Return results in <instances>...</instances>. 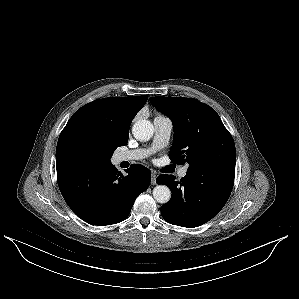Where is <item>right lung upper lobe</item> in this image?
<instances>
[{
  "label": "right lung upper lobe",
  "instance_id": "1",
  "mask_svg": "<svg viewBox=\"0 0 299 299\" xmlns=\"http://www.w3.org/2000/svg\"><path fill=\"white\" fill-rule=\"evenodd\" d=\"M147 99L148 96L109 97L82 106L70 118L59 136L56 163L72 161L62 153L63 140L80 136L90 130L101 132L121 146L126 145L130 124Z\"/></svg>",
  "mask_w": 299,
  "mask_h": 299
}]
</instances>
